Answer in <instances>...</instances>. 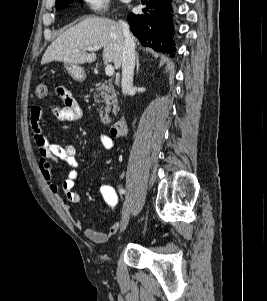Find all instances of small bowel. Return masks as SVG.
Here are the masks:
<instances>
[{"label": "small bowel", "mask_w": 267, "mask_h": 301, "mask_svg": "<svg viewBox=\"0 0 267 301\" xmlns=\"http://www.w3.org/2000/svg\"><path fill=\"white\" fill-rule=\"evenodd\" d=\"M55 93L62 102L60 107L54 106L51 109L58 120L76 121L82 117V109L69 89L58 86ZM43 116L44 108L41 105H34L31 108L30 126L39 153V171L50 191L61 200L64 211L69 213L70 204L77 203L80 200V195L75 189V182L78 177V165L75 158L76 148L70 143L57 144L51 142L42 131ZM100 141L105 149L109 150L114 146L113 139L108 135L102 134ZM52 162H62L69 168L65 179L61 183L56 182L52 176ZM60 190H62L64 198L61 197ZM73 223L78 229H83L85 237L94 243L107 242L119 228L117 222L105 232L96 231L90 227L84 228L79 219H75Z\"/></svg>", "instance_id": "obj_1"}]
</instances>
